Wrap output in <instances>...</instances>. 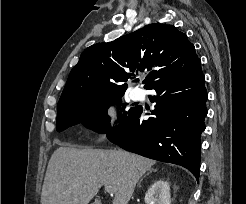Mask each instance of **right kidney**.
Listing matches in <instances>:
<instances>
[{
    "instance_id": "1",
    "label": "right kidney",
    "mask_w": 246,
    "mask_h": 204,
    "mask_svg": "<svg viewBox=\"0 0 246 204\" xmlns=\"http://www.w3.org/2000/svg\"><path fill=\"white\" fill-rule=\"evenodd\" d=\"M170 186L166 181L154 182L145 194L146 204H171Z\"/></svg>"
}]
</instances>
